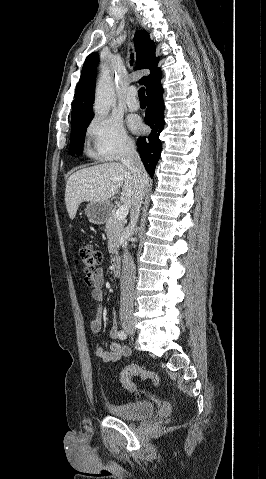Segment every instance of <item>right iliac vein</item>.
<instances>
[{
	"mask_svg": "<svg viewBox=\"0 0 266 479\" xmlns=\"http://www.w3.org/2000/svg\"><path fill=\"white\" fill-rule=\"evenodd\" d=\"M124 330L132 335L135 334V326L133 322H124L122 323Z\"/></svg>",
	"mask_w": 266,
	"mask_h": 479,
	"instance_id": "right-iliac-vein-1",
	"label": "right iliac vein"
}]
</instances>
